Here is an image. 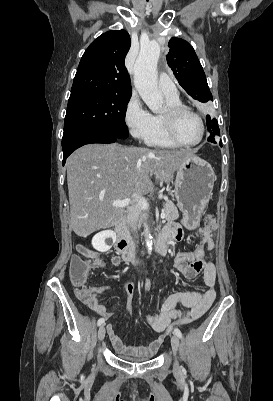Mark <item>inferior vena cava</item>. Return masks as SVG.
Instances as JSON below:
<instances>
[{"label":"inferior vena cava","mask_w":273,"mask_h":401,"mask_svg":"<svg viewBox=\"0 0 273 401\" xmlns=\"http://www.w3.org/2000/svg\"><path fill=\"white\" fill-rule=\"evenodd\" d=\"M137 221H138V209L137 207H135V205H132V207H128V213H127V223L128 225H130L132 231H136Z\"/></svg>","instance_id":"obj_1"}]
</instances>
